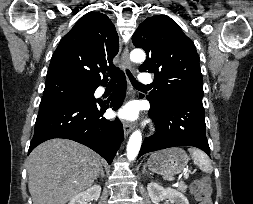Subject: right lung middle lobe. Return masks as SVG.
Masks as SVG:
<instances>
[{
  "instance_id": "dd1d6c3e",
  "label": "right lung middle lobe",
  "mask_w": 253,
  "mask_h": 204,
  "mask_svg": "<svg viewBox=\"0 0 253 204\" xmlns=\"http://www.w3.org/2000/svg\"><path fill=\"white\" fill-rule=\"evenodd\" d=\"M94 87L69 82L55 81L45 84L41 102L53 100H94Z\"/></svg>"
}]
</instances>
